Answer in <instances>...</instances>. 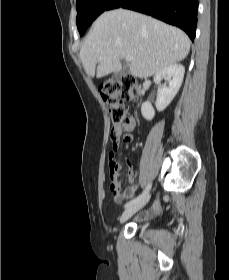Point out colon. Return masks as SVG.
<instances>
[{
	"label": "colon",
	"instance_id": "5ec220e1",
	"mask_svg": "<svg viewBox=\"0 0 229 280\" xmlns=\"http://www.w3.org/2000/svg\"><path fill=\"white\" fill-rule=\"evenodd\" d=\"M135 85L136 81L133 77L124 75L117 80L103 83L98 88L102 99L109 108L112 122V152L118 149L122 140L128 139V134L134 128L135 117L127 114L124 102L133 99ZM113 163L114 159L112 158L110 165Z\"/></svg>",
	"mask_w": 229,
	"mask_h": 280
}]
</instances>
